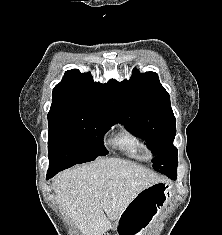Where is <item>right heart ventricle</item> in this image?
I'll return each instance as SVG.
<instances>
[{
    "label": "right heart ventricle",
    "mask_w": 222,
    "mask_h": 235,
    "mask_svg": "<svg viewBox=\"0 0 222 235\" xmlns=\"http://www.w3.org/2000/svg\"><path fill=\"white\" fill-rule=\"evenodd\" d=\"M112 145L131 160L146 162L152 156L146 140L127 129L122 130L112 140Z\"/></svg>",
    "instance_id": "e07e8e85"
}]
</instances>
